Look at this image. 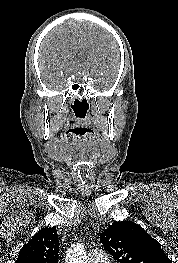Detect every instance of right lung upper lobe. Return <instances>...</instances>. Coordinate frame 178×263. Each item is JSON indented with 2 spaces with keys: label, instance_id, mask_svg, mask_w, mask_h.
<instances>
[{
  "label": "right lung upper lobe",
  "instance_id": "right-lung-upper-lobe-1",
  "mask_svg": "<svg viewBox=\"0 0 178 263\" xmlns=\"http://www.w3.org/2000/svg\"><path fill=\"white\" fill-rule=\"evenodd\" d=\"M56 228H42L22 247L15 263H58Z\"/></svg>",
  "mask_w": 178,
  "mask_h": 263
}]
</instances>
